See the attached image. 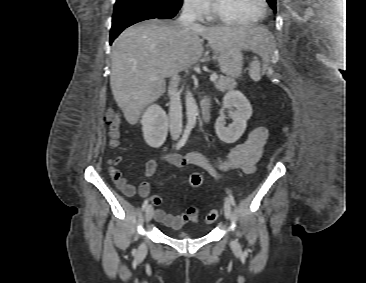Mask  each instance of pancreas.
I'll list each match as a JSON object with an SVG mask.
<instances>
[{
    "label": "pancreas",
    "instance_id": "1",
    "mask_svg": "<svg viewBox=\"0 0 366 283\" xmlns=\"http://www.w3.org/2000/svg\"><path fill=\"white\" fill-rule=\"evenodd\" d=\"M215 86L220 91L233 90L237 86V82L230 77L220 76L215 82Z\"/></svg>",
    "mask_w": 366,
    "mask_h": 283
}]
</instances>
